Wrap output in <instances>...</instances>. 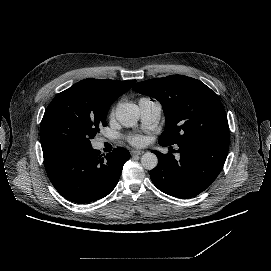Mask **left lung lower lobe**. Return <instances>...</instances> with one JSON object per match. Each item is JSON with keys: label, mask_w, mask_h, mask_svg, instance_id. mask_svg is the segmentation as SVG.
<instances>
[{"label": "left lung lower lobe", "mask_w": 271, "mask_h": 271, "mask_svg": "<svg viewBox=\"0 0 271 271\" xmlns=\"http://www.w3.org/2000/svg\"><path fill=\"white\" fill-rule=\"evenodd\" d=\"M161 146H170L159 141ZM180 159L171 153L152 151L158 165L150 172L154 185L162 192L191 198L208 188L225 163L229 139L202 136L195 143L178 144Z\"/></svg>", "instance_id": "1"}]
</instances>
